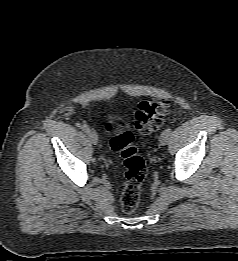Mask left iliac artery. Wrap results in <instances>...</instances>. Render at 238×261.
Wrapping results in <instances>:
<instances>
[{
	"label": "left iliac artery",
	"instance_id": "left-iliac-artery-1",
	"mask_svg": "<svg viewBox=\"0 0 238 261\" xmlns=\"http://www.w3.org/2000/svg\"><path fill=\"white\" fill-rule=\"evenodd\" d=\"M166 131H167L169 134H171L172 129H171V128H167Z\"/></svg>",
	"mask_w": 238,
	"mask_h": 261
}]
</instances>
